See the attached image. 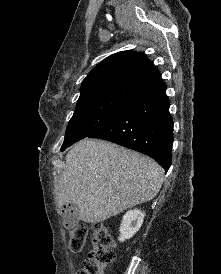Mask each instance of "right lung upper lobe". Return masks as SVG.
Instances as JSON below:
<instances>
[{"instance_id":"cb5924a9","label":"right lung upper lobe","mask_w":221,"mask_h":274,"mask_svg":"<svg viewBox=\"0 0 221 274\" xmlns=\"http://www.w3.org/2000/svg\"><path fill=\"white\" fill-rule=\"evenodd\" d=\"M161 82L145 54L122 51L104 59L87 75L79 100L95 97L134 100Z\"/></svg>"}]
</instances>
